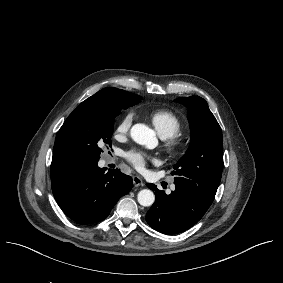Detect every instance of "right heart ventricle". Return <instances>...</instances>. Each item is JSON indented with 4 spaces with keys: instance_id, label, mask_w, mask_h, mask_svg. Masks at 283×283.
I'll list each match as a JSON object with an SVG mask.
<instances>
[{
    "instance_id": "right-heart-ventricle-1",
    "label": "right heart ventricle",
    "mask_w": 283,
    "mask_h": 283,
    "mask_svg": "<svg viewBox=\"0 0 283 283\" xmlns=\"http://www.w3.org/2000/svg\"><path fill=\"white\" fill-rule=\"evenodd\" d=\"M149 121L161 138H168L181 128L180 118L171 111L157 110L149 114Z\"/></svg>"
}]
</instances>
